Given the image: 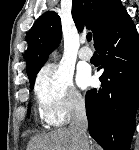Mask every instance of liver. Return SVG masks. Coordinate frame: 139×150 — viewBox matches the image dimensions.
I'll return each mask as SVG.
<instances>
[{
    "mask_svg": "<svg viewBox=\"0 0 139 150\" xmlns=\"http://www.w3.org/2000/svg\"><path fill=\"white\" fill-rule=\"evenodd\" d=\"M78 144L70 128H59L48 134L32 138L27 150H78ZM92 150V146L88 147Z\"/></svg>",
    "mask_w": 139,
    "mask_h": 150,
    "instance_id": "liver-1",
    "label": "liver"
}]
</instances>
